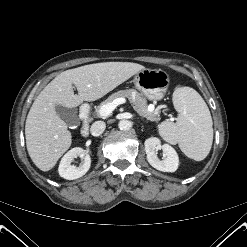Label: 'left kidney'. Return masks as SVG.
I'll return each instance as SVG.
<instances>
[{
	"label": "left kidney",
	"mask_w": 247,
	"mask_h": 247,
	"mask_svg": "<svg viewBox=\"0 0 247 247\" xmlns=\"http://www.w3.org/2000/svg\"><path fill=\"white\" fill-rule=\"evenodd\" d=\"M145 151L149 164L155 169L163 172H175L179 165L178 154L169 144L161 145L157 137H150L145 140ZM162 149L164 153L163 160H160L156 151Z\"/></svg>",
	"instance_id": "obj_1"
}]
</instances>
